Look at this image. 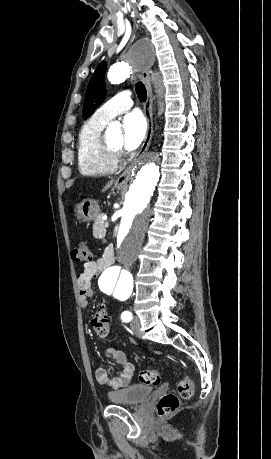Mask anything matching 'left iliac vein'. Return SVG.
Masks as SVG:
<instances>
[{"mask_svg": "<svg viewBox=\"0 0 271 459\" xmlns=\"http://www.w3.org/2000/svg\"><path fill=\"white\" fill-rule=\"evenodd\" d=\"M131 329L136 335H141V330H140V319L138 316H134L132 321H131Z\"/></svg>", "mask_w": 271, "mask_h": 459, "instance_id": "left-iliac-vein-1", "label": "left iliac vein"}]
</instances>
